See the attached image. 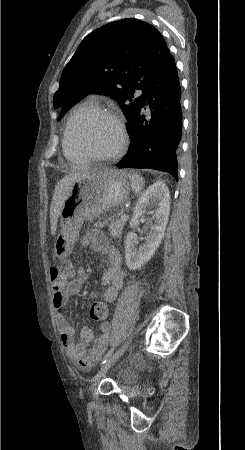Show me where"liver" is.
I'll return each mask as SVG.
<instances>
[{"label":"liver","instance_id":"obj_1","mask_svg":"<svg viewBox=\"0 0 245 450\" xmlns=\"http://www.w3.org/2000/svg\"><path fill=\"white\" fill-rule=\"evenodd\" d=\"M92 171H93L92 169H90V170L85 169L82 171L70 173L69 175L65 176L57 183L54 193H53L52 203H51V207H50L51 233L53 235L56 232L57 221L60 216L66 194L69 191L71 185L77 179L87 176Z\"/></svg>","mask_w":245,"mask_h":450}]
</instances>
